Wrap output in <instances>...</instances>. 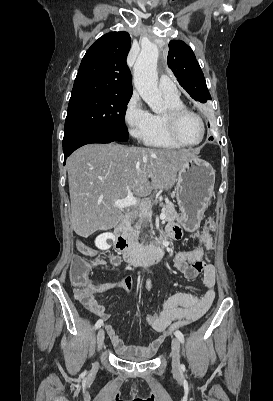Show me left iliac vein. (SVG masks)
Instances as JSON below:
<instances>
[{
    "label": "left iliac vein",
    "mask_w": 273,
    "mask_h": 401,
    "mask_svg": "<svg viewBox=\"0 0 273 401\" xmlns=\"http://www.w3.org/2000/svg\"><path fill=\"white\" fill-rule=\"evenodd\" d=\"M172 370L175 374H179L181 371L180 342L177 338L172 339Z\"/></svg>",
    "instance_id": "obj_1"
}]
</instances>
